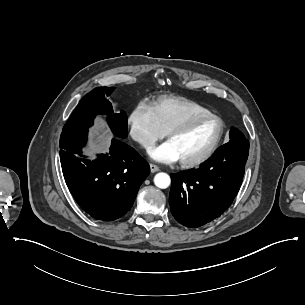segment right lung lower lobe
Listing matches in <instances>:
<instances>
[{"label": "right lung lower lobe", "instance_id": "98d812e1", "mask_svg": "<svg viewBox=\"0 0 305 305\" xmlns=\"http://www.w3.org/2000/svg\"><path fill=\"white\" fill-rule=\"evenodd\" d=\"M88 130L61 134L60 160L65 182L78 205L98 220L112 221L132 207L150 173L149 164L130 146L113 139L109 154L96 160L78 158Z\"/></svg>", "mask_w": 305, "mask_h": 305}]
</instances>
